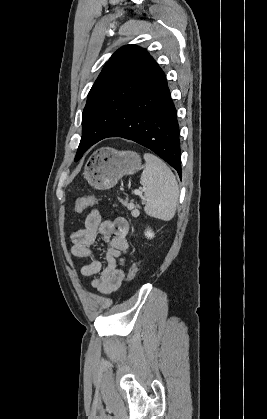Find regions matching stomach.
<instances>
[{
	"mask_svg": "<svg viewBox=\"0 0 267 419\" xmlns=\"http://www.w3.org/2000/svg\"><path fill=\"white\" fill-rule=\"evenodd\" d=\"M141 167L138 153L103 147L89 157L83 174L92 187L107 190L114 187L123 175L133 174Z\"/></svg>",
	"mask_w": 267,
	"mask_h": 419,
	"instance_id": "1",
	"label": "stomach"
}]
</instances>
